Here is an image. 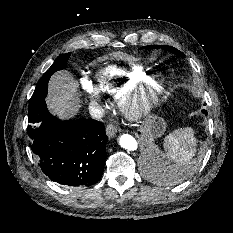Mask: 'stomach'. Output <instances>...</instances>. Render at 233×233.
Instances as JSON below:
<instances>
[{"instance_id": "0dacf381", "label": "stomach", "mask_w": 233, "mask_h": 233, "mask_svg": "<svg viewBox=\"0 0 233 233\" xmlns=\"http://www.w3.org/2000/svg\"><path fill=\"white\" fill-rule=\"evenodd\" d=\"M165 129L166 124L162 118L149 115L142 124L141 132L149 138H155L161 136Z\"/></svg>"}]
</instances>
